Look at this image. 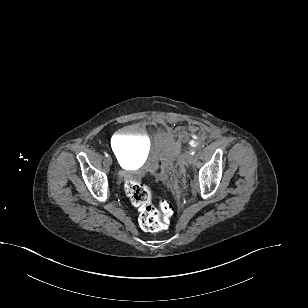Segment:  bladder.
I'll return each mask as SVG.
<instances>
[{"mask_svg": "<svg viewBox=\"0 0 308 308\" xmlns=\"http://www.w3.org/2000/svg\"><path fill=\"white\" fill-rule=\"evenodd\" d=\"M111 149L119 164L124 168L139 164L147 158L150 151V140L139 125H128L113 136Z\"/></svg>", "mask_w": 308, "mask_h": 308, "instance_id": "bladder-1", "label": "bladder"}]
</instances>
